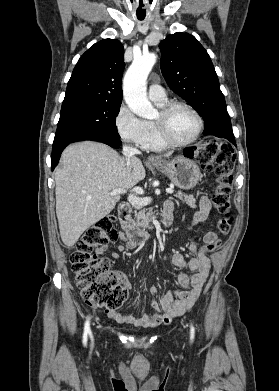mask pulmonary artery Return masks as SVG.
<instances>
[{
	"label": "pulmonary artery",
	"mask_w": 279,
	"mask_h": 391,
	"mask_svg": "<svg viewBox=\"0 0 279 391\" xmlns=\"http://www.w3.org/2000/svg\"><path fill=\"white\" fill-rule=\"evenodd\" d=\"M149 98L154 102H160L167 99L166 92L162 86L157 83H152L149 86Z\"/></svg>",
	"instance_id": "pulmonary-artery-1"
}]
</instances>
